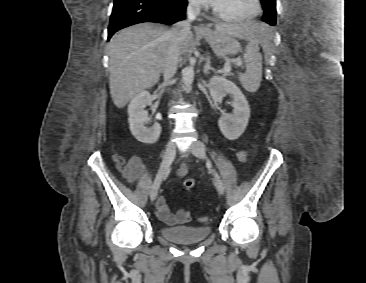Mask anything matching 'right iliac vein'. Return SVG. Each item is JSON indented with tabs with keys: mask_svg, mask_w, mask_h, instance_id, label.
<instances>
[{
	"mask_svg": "<svg viewBox=\"0 0 366 283\" xmlns=\"http://www.w3.org/2000/svg\"><path fill=\"white\" fill-rule=\"evenodd\" d=\"M175 152H176V147H175L174 142H169L166 147L165 153L163 155V160H162L160 169L156 175V178L154 180V183H153L151 191H150L151 201H154L157 197L160 184L162 182V179L165 175L166 170L168 169V167L170 166V164L173 161Z\"/></svg>",
	"mask_w": 366,
	"mask_h": 283,
	"instance_id": "obj_1",
	"label": "right iliac vein"
}]
</instances>
